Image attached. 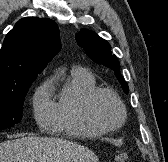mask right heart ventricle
Instances as JSON below:
<instances>
[{
    "mask_svg": "<svg viewBox=\"0 0 168 162\" xmlns=\"http://www.w3.org/2000/svg\"><path fill=\"white\" fill-rule=\"evenodd\" d=\"M97 88L93 73L74 68L66 77L56 101L52 124L57 130L76 137H94L105 133L95 126L85 112L88 94Z\"/></svg>",
    "mask_w": 168,
    "mask_h": 162,
    "instance_id": "e07e8e85",
    "label": "right heart ventricle"
}]
</instances>
